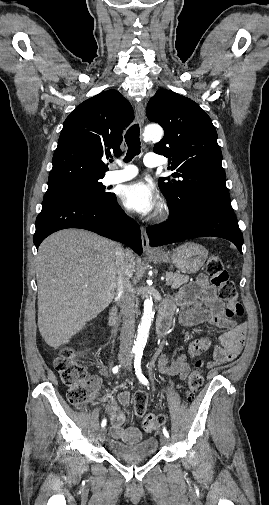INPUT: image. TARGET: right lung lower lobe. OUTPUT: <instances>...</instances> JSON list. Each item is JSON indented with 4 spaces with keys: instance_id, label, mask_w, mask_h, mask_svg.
<instances>
[{
    "instance_id": "right-lung-lower-lobe-1",
    "label": "right lung lower lobe",
    "mask_w": 269,
    "mask_h": 505,
    "mask_svg": "<svg viewBox=\"0 0 269 505\" xmlns=\"http://www.w3.org/2000/svg\"><path fill=\"white\" fill-rule=\"evenodd\" d=\"M66 228H81L122 242L142 253L139 225L118 205L116 196L102 203L81 196H59L42 202L33 242L36 248L50 234Z\"/></svg>"
}]
</instances>
